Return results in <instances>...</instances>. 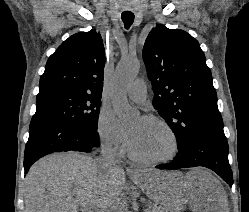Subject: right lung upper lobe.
<instances>
[{"mask_svg": "<svg viewBox=\"0 0 249 212\" xmlns=\"http://www.w3.org/2000/svg\"><path fill=\"white\" fill-rule=\"evenodd\" d=\"M104 66L100 34L94 30L74 34L49 57L38 95L72 92L101 96Z\"/></svg>", "mask_w": 249, "mask_h": 212, "instance_id": "1", "label": "right lung upper lobe"}]
</instances>
